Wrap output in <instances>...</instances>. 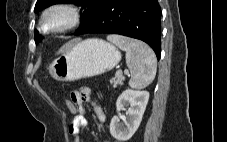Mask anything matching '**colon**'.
<instances>
[{
    "mask_svg": "<svg viewBox=\"0 0 227 142\" xmlns=\"http://www.w3.org/2000/svg\"><path fill=\"white\" fill-rule=\"evenodd\" d=\"M66 106H67L68 110L70 111V113L74 116V118H77L80 116V111H79L78 107L72 102V100L68 99L66 101Z\"/></svg>",
    "mask_w": 227,
    "mask_h": 142,
    "instance_id": "obj_1",
    "label": "colon"
}]
</instances>
